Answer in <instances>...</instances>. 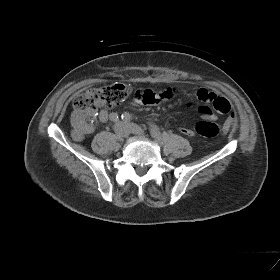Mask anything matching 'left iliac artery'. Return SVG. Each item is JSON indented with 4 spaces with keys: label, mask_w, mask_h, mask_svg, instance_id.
Segmentation results:
<instances>
[{
    "label": "left iliac artery",
    "mask_w": 280,
    "mask_h": 280,
    "mask_svg": "<svg viewBox=\"0 0 280 280\" xmlns=\"http://www.w3.org/2000/svg\"><path fill=\"white\" fill-rule=\"evenodd\" d=\"M121 118H122L123 121L129 122V121L132 120V115H130L129 113L125 112L124 114H122ZM149 130H150V133H151V135L153 137H155V138H159L160 137V135H161L160 134V130H159V128L156 125L150 124L149 125Z\"/></svg>",
    "instance_id": "left-iliac-artery-1"
}]
</instances>
